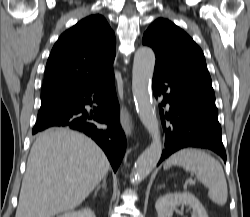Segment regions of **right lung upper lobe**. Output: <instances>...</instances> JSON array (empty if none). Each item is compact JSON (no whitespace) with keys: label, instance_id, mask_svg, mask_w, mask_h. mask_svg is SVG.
Segmentation results:
<instances>
[{"label":"right lung upper lobe","instance_id":"right-lung-upper-lobe-1","mask_svg":"<svg viewBox=\"0 0 250 217\" xmlns=\"http://www.w3.org/2000/svg\"><path fill=\"white\" fill-rule=\"evenodd\" d=\"M115 45V35L101 15L88 16L65 31L46 64L41 104L111 75Z\"/></svg>","mask_w":250,"mask_h":217}]
</instances>
